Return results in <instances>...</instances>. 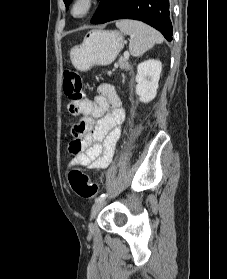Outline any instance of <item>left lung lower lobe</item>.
Wrapping results in <instances>:
<instances>
[{
    "label": "left lung lower lobe",
    "instance_id": "0a47b994",
    "mask_svg": "<svg viewBox=\"0 0 227 279\" xmlns=\"http://www.w3.org/2000/svg\"><path fill=\"white\" fill-rule=\"evenodd\" d=\"M117 19H135L159 30L172 40L169 0H101L91 23L102 24Z\"/></svg>",
    "mask_w": 227,
    "mask_h": 279
}]
</instances>
